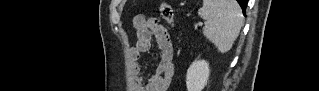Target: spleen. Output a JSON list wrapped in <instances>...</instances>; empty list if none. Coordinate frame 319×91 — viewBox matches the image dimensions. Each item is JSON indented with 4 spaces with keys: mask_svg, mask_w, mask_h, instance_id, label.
<instances>
[{
    "mask_svg": "<svg viewBox=\"0 0 319 91\" xmlns=\"http://www.w3.org/2000/svg\"><path fill=\"white\" fill-rule=\"evenodd\" d=\"M198 14L207 22L203 27L204 36L219 52H228L243 24L242 11L237 1L204 0Z\"/></svg>",
    "mask_w": 319,
    "mask_h": 91,
    "instance_id": "3e777b00",
    "label": "spleen"
}]
</instances>
